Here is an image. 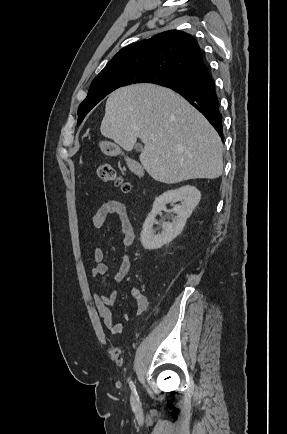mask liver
<instances>
[{"mask_svg": "<svg viewBox=\"0 0 287 434\" xmlns=\"http://www.w3.org/2000/svg\"><path fill=\"white\" fill-rule=\"evenodd\" d=\"M101 134L131 151L156 181L215 179L223 172V144L207 119L174 91L151 84L122 87L106 102Z\"/></svg>", "mask_w": 287, "mask_h": 434, "instance_id": "6515ba94", "label": "liver"}]
</instances>
